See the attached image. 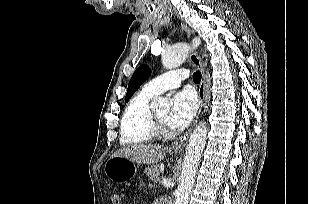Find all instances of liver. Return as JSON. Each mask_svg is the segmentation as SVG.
I'll use <instances>...</instances> for the list:
<instances>
[{
  "mask_svg": "<svg viewBox=\"0 0 309 204\" xmlns=\"http://www.w3.org/2000/svg\"><path fill=\"white\" fill-rule=\"evenodd\" d=\"M167 147L163 145H131L116 151L112 156L125 157L141 164H155L164 159Z\"/></svg>",
  "mask_w": 309,
  "mask_h": 204,
  "instance_id": "6515ba94",
  "label": "liver"
}]
</instances>
